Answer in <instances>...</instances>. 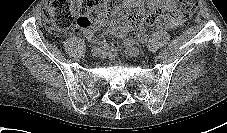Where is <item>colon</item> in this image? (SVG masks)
<instances>
[{"mask_svg":"<svg viewBox=\"0 0 227 133\" xmlns=\"http://www.w3.org/2000/svg\"><path fill=\"white\" fill-rule=\"evenodd\" d=\"M178 14L192 16L198 8L197 0H175ZM110 9L109 0H49L44 19L51 32L60 34L70 28L78 31L88 29L92 22L99 20ZM134 23H162L166 15L158 9H152L147 15L143 10L133 8L130 11ZM116 50V44L113 52Z\"/></svg>","mask_w":227,"mask_h":133,"instance_id":"5ec220e1","label":"colon"}]
</instances>
